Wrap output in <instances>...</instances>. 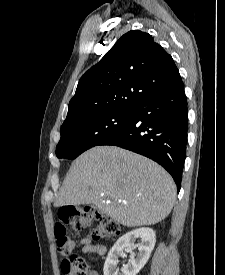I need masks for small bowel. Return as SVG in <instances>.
I'll return each instance as SVG.
<instances>
[{"label": "small bowel", "mask_w": 225, "mask_h": 275, "mask_svg": "<svg viewBox=\"0 0 225 275\" xmlns=\"http://www.w3.org/2000/svg\"><path fill=\"white\" fill-rule=\"evenodd\" d=\"M80 244L82 254H97L102 256L106 253V247L103 244L94 243L88 238L81 240ZM89 275H98V273L92 271Z\"/></svg>", "instance_id": "c3829d8e"}]
</instances>
